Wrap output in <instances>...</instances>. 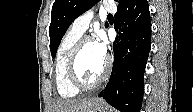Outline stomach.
Returning <instances> with one entry per match:
<instances>
[{"label": "stomach", "mask_w": 193, "mask_h": 112, "mask_svg": "<svg viewBox=\"0 0 193 112\" xmlns=\"http://www.w3.org/2000/svg\"><path fill=\"white\" fill-rule=\"evenodd\" d=\"M90 112H106V109L101 101L95 100Z\"/></svg>", "instance_id": "stomach-1"}]
</instances>
